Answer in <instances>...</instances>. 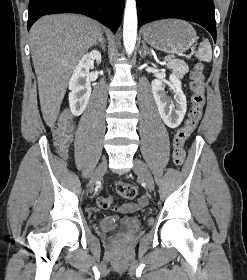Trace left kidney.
I'll return each instance as SVG.
<instances>
[{"mask_svg":"<svg viewBox=\"0 0 247 280\" xmlns=\"http://www.w3.org/2000/svg\"><path fill=\"white\" fill-rule=\"evenodd\" d=\"M170 89L174 91L175 102H170L166 96L165 88L159 79L151 83L152 93L163 122L170 128L178 127L187 111L186 96L181 87V81L175 75H170Z\"/></svg>","mask_w":247,"mask_h":280,"instance_id":"left-kidney-1","label":"left kidney"}]
</instances>
